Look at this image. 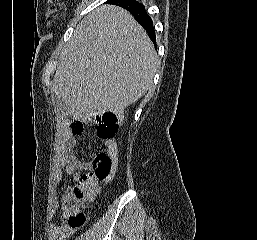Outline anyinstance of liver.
Segmentation results:
<instances>
[{"mask_svg": "<svg viewBox=\"0 0 257 240\" xmlns=\"http://www.w3.org/2000/svg\"><path fill=\"white\" fill-rule=\"evenodd\" d=\"M158 57L125 9L103 5L86 16L61 53L52 91L73 116L124 109L150 89Z\"/></svg>", "mask_w": 257, "mask_h": 240, "instance_id": "6515ba94", "label": "liver"}]
</instances>
